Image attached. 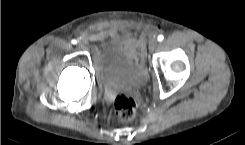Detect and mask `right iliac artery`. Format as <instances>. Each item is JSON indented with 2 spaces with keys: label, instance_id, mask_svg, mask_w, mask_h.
Returning a JSON list of instances; mask_svg holds the SVG:
<instances>
[{
  "label": "right iliac artery",
  "instance_id": "obj_1",
  "mask_svg": "<svg viewBox=\"0 0 245 145\" xmlns=\"http://www.w3.org/2000/svg\"><path fill=\"white\" fill-rule=\"evenodd\" d=\"M71 42H72V44H76L77 43V41L75 39H73Z\"/></svg>",
  "mask_w": 245,
  "mask_h": 145
}]
</instances>
